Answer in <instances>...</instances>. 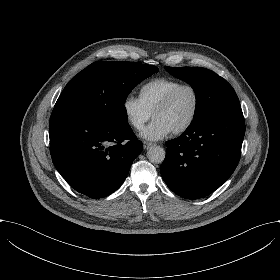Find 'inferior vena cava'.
Returning a JSON list of instances; mask_svg holds the SVG:
<instances>
[{
	"label": "inferior vena cava",
	"instance_id": "inferior-vena-cava-1",
	"mask_svg": "<svg viewBox=\"0 0 280 280\" xmlns=\"http://www.w3.org/2000/svg\"><path fill=\"white\" fill-rule=\"evenodd\" d=\"M134 126L138 127L140 125L139 122H137L136 120L133 121Z\"/></svg>",
	"mask_w": 280,
	"mask_h": 280
}]
</instances>
